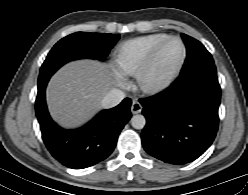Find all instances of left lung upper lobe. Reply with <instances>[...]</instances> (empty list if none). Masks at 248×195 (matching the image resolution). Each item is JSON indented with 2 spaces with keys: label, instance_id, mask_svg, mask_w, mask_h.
<instances>
[{
  "label": "left lung upper lobe",
  "instance_id": "obj_1",
  "mask_svg": "<svg viewBox=\"0 0 248 195\" xmlns=\"http://www.w3.org/2000/svg\"><path fill=\"white\" fill-rule=\"evenodd\" d=\"M187 50V57L179 78L189 81L201 76H217L211 54L198 40L181 34Z\"/></svg>",
  "mask_w": 248,
  "mask_h": 195
}]
</instances>
